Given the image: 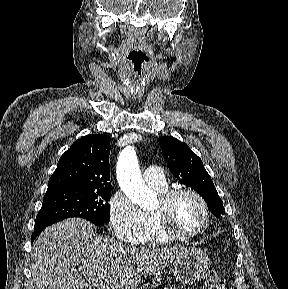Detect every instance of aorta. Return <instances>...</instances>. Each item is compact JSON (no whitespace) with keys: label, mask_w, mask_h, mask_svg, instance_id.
<instances>
[{"label":"aorta","mask_w":288,"mask_h":289,"mask_svg":"<svg viewBox=\"0 0 288 289\" xmlns=\"http://www.w3.org/2000/svg\"><path fill=\"white\" fill-rule=\"evenodd\" d=\"M117 179L126 196L143 210L157 204L155 193L143 181L134 147L124 148L118 158Z\"/></svg>","instance_id":"aorta-1"}]
</instances>
